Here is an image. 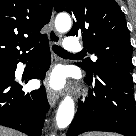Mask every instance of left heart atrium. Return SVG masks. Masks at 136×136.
Returning a JSON list of instances; mask_svg holds the SVG:
<instances>
[{"instance_id":"39dd6f15","label":"left heart atrium","mask_w":136,"mask_h":136,"mask_svg":"<svg viewBox=\"0 0 136 136\" xmlns=\"http://www.w3.org/2000/svg\"><path fill=\"white\" fill-rule=\"evenodd\" d=\"M63 80H64V75L58 72L53 75L50 82L52 86L59 87L63 83Z\"/></svg>"}]
</instances>
